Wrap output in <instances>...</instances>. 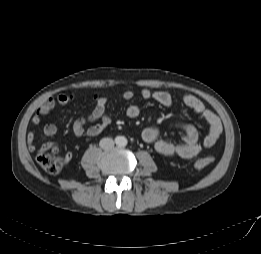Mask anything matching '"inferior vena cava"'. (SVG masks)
<instances>
[{
	"label": "inferior vena cava",
	"mask_w": 261,
	"mask_h": 254,
	"mask_svg": "<svg viewBox=\"0 0 261 254\" xmlns=\"http://www.w3.org/2000/svg\"><path fill=\"white\" fill-rule=\"evenodd\" d=\"M99 145L102 149H110L114 147V141L111 138H103L100 140Z\"/></svg>",
	"instance_id": "inferior-vena-cava-1"
}]
</instances>
